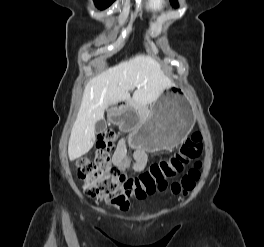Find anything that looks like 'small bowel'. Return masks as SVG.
<instances>
[{"instance_id": "small-bowel-1", "label": "small bowel", "mask_w": 264, "mask_h": 247, "mask_svg": "<svg viewBox=\"0 0 264 247\" xmlns=\"http://www.w3.org/2000/svg\"><path fill=\"white\" fill-rule=\"evenodd\" d=\"M147 162V155L142 150H137L134 152V171H141L144 169ZM113 163L117 167L126 168L129 166L130 162L127 157V142L125 139L119 141L115 153L113 155Z\"/></svg>"}]
</instances>
